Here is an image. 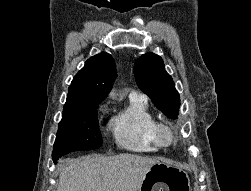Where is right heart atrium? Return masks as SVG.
<instances>
[{"mask_svg":"<svg viewBox=\"0 0 251 191\" xmlns=\"http://www.w3.org/2000/svg\"><path fill=\"white\" fill-rule=\"evenodd\" d=\"M104 109L103 108H101L100 110H99V112H102Z\"/></svg>","mask_w":251,"mask_h":191,"instance_id":"right-heart-atrium-1","label":"right heart atrium"}]
</instances>
